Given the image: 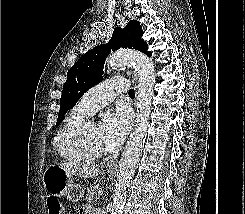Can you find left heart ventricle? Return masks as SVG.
Returning <instances> with one entry per match:
<instances>
[{"instance_id": "b2bd125f", "label": "left heart ventricle", "mask_w": 245, "mask_h": 214, "mask_svg": "<svg viewBox=\"0 0 245 214\" xmlns=\"http://www.w3.org/2000/svg\"><path fill=\"white\" fill-rule=\"evenodd\" d=\"M86 144L90 151L94 153H104V149L98 139L97 125L90 122L86 130Z\"/></svg>"}]
</instances>
